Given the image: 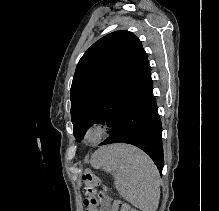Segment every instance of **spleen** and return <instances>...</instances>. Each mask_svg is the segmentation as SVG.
<instances>
[{"mask_svg": "<svg viewBox=\"0 0 219 211\" xmlns=\"http://www.w3.org/2000/svg\"><path fill=\"white\" fill-rule=\"evenodd\" d=\"M95 169L114 175L122 197L142 211H156L160 199L158 169L151 157L130 143L99 147L91 155Z\"/></svg>", "mask_w": 219, "mask_h": 211, "instance_id": "3e777b00", "label": "spleen"}]
</instances>
